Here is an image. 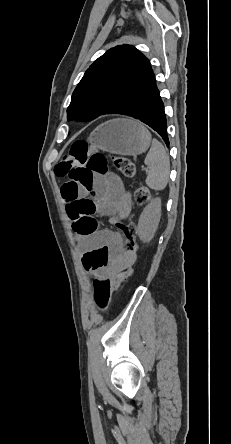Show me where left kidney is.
Returning a JSON list of instances; mask_svg holds the SVG:
<instances>
[{
    "mask_svg": "<svg viewBox=\"0 0 231 444\" xmlns=\"http://www.w3.org/2000/svg\"><path fill=\"white\" fill-rule=\"evenodd\" d=\"M161 217V199H153L140 215L137 233L143 242H150L158 228Z\"/></svg>",
    "mask_w": 231,
    "mask_h": 444,
    "instance_id": "obj_1",
    "label": "left kidney"
}]
</instances>
